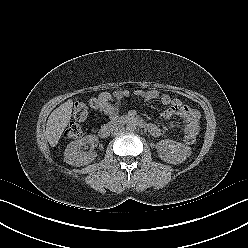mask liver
<instances>
[{"label": "liver", "instance_id": "1", "mask_svg": "<svg viewBox=\"0 0 248 248\" xmlns=\"http://www.w3.org/2000/svg\"><path fill=\"white\" fill-rule=\"evenodd\" d=\"M73 101L68 100L53 110L46 124V137L51 147H55L71 119Z\"/></svg>", "mask_w": 248, "mask_h": 248}]
</instances>
